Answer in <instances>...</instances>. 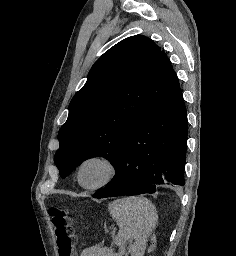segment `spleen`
I'll return each mask as SVG.
<instances>
[{
	"mask_svg": "<svg viewBox=\"0 0 236 256\" xmlns=\"http://www.w3.org/2000/svg\"><path fill=\"white\" fill-rule=\"evenodd\" d=\"M108 210L119 226V232L114 244L121 246L124 242L135 240L128 248L130 256H144L146 242L156 222L157 212L152 202L147 198H121L114 200ZM82 256H118L113 248H88Z\"/></svg>",
	"mask_w": 236,
	"mask_h": 256,
	"instance_id": "obj_1",
	"label": "spleen"
}]
</instances>
